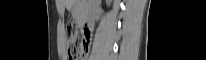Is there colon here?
Returning <instances> with one entry per match:
<instances>
[{
  "mask_svg": "<svg viewBox=\"0 0 206 60\" xmlns=\"http://www.w3.org/2000/svg\"><path fill=\"white\" fill-rule=\"evenodd\" d=\"M67 57L69 60H79L87 49L88 34H81L75 24L66 28Z\"/></svg>",
  "mask_w": 206,
  "mask_h": 60,
  "instance_id": "1",
  "label": "colon"
}]
</instances>
